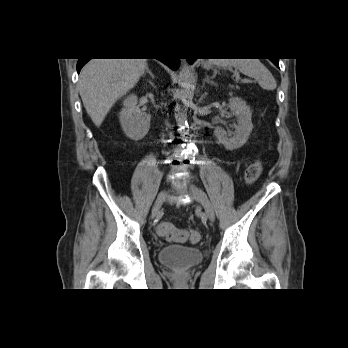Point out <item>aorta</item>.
Listing matches in <instances>:
<instances>
[{"instance_id": "1", "label": "aorta", "mask_w": 348, "mask_h": 348, "mask_svg": "<svg viewBox=\"0 0 348 348\" xmlns=\"http://www.w3.org/2000/svg\"><path fill=\"white\" fill-rule=\"evenodd\" d=\"M194 75L186 63L182 60L180 67V76L178 80L179 90L177 93L181 104L175 108V119L179 127L178 131L182 133L187 125V110L194 96Z\"/></svg>"}]
</instances>
